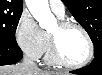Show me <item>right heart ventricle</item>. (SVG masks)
Wrapping results in <instances>:
<instances>
[{"label":"right heart ventricle","mask_w":102,"mask_h":75,"mask_svg":"<svg viewBox=\"0 0 102 75\" xmlns=\"http://www.w3.org/2000/svg\"><path fill=\"white\" fill-rule=\"evenodd\" d=\"M58 16V15H57ZM60 19H63L64 17H60L58 16ZM45 34V37H46V48H45V57H46V60L49 62V63H52L53 60L51 58V52H50V42H49V35L48 33L44 32Z\"/></svg>","instance_id":"1"}]
</instances>
